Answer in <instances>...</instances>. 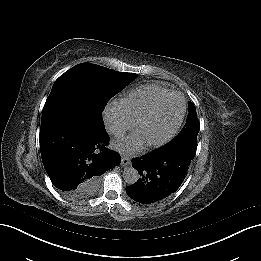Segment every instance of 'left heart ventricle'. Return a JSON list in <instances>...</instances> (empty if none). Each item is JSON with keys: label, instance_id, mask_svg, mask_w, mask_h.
<instances>
[{"label": "left heart ventricle", "instance_id": "left-heart-ventricle-1", "mask_svg": "<svg viewBox=\"0 0 261 261\" xmlns=\"http://www.w3.org/2000/svg\"><path fill=\"white\" fill-rule=\"evenodd\" d=\"M181 113L179 100L155 115L144 117L137 129L140 138L154 140L164 136L174 127Z\"/></svg>", "mask_w": 261, "mask_h": 261}]
</instances>
